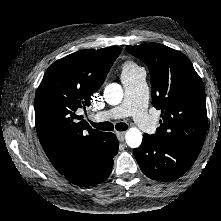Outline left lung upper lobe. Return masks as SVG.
Masks as SVG:
<instances>
[{
  "label": "left lung upper lobe",
  "mask_w": 221,
  "mask_h": 221,
  "mask_svg": "<svg viewBox=\"0 0 221 221\" xmlns=\"http://www.w3.org/2000/svg\"><path fill=\"white\" fill-rule=\"evenodd\" d=\"M150 71L153 106L161 110L155 138L200 153L207 132L205 91L191 61L180 51L159 43L128 46Z\"/></svg>",
  "instance_id": "1"
}]
</instances>
